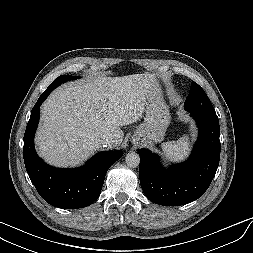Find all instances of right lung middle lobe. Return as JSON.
Returning a JSON list of instances; mask_svg holds the SVG:
<instances>
[{"label":"right lung middle lobe","instance_id":"dd1d6c3e","mask_svg":"<svg viewBox=\"0 0 253 253\" xmlns=\"http://www.w3.org/2000/svg\"><path fill=\"white\" fill-rule=\"evenodd\" d=\"M77 76H70V75H61L59 77H57L46 90H50L52 91L53 89H55L57 86H59L61 83L68 81V80H75L77 79Z\"/></svg>","mask_w":253,"mask_h":253}]
</instances>
